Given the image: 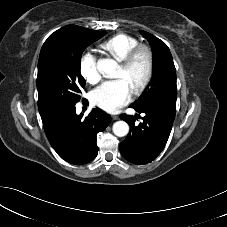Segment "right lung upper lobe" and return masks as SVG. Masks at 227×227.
<instances>
[{
  "label": "right lung upper lobe",
  "mask_w": 227,
  "mask_h": 227,
  "mask_svg": "<svg viewBox=\"0 0 227 227\" xmlns=\"http://www.w3.org/2000/svg\"><path fill=\"white\" fill-rule=\"evenodd\" d=\"M66 28H80V29H83L84 31H86V32H88L92 35H95V36H102L106 33L105 31H94V30H90V29L83 28V27L76 26V25H67V26H64L61 29H66Z\"/></svg>",
  "instance_id": "1"
}]
</instances>
